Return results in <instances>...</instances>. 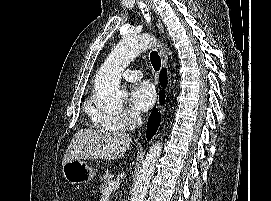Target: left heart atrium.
Returning <instances> with one entry per match:
<instances>
[{
    "mask_svg": "<svg viewBox=\"0 0 271 201\" xmlns=\"http://www.w3.org/2000/svg\"><path fill=\"white\" fill-rule=\"evenodd\" d=\"M130 102L133 108L139 111L149 110L156 102V91L147 82L135 85L130 93Z\"/></svg>",
    "mask_w": 271,
    "mask_h": 201,
    "instance_id": "1",
    "label": "left heart atrium"
}]
</instances>
